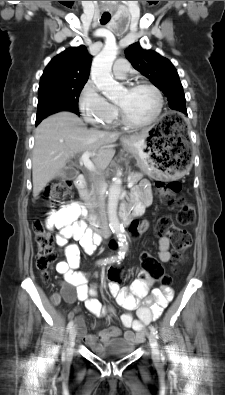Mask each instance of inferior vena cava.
Returning <instances> with one entry per match:
<instances>
[{
    "mask_svg": "<svg viewBox=\"0 0 225 395\" xmlns=\"http://www.w3.org/2000/svg\"><path fill=\"white\" fill-rule=\"evenodd\" d=\"M98 205H99V207L102 210L103 209V197L101 195L99 196ZM101 219L103 221V229H106L105 222H104V217H103V213L102 212H101Z\"/></svg>",
    "mask_w": 225,
    "mask_h": 395,
    "instance_id": "1",
    "label": "inferior vena cava"
}]
</instances>
